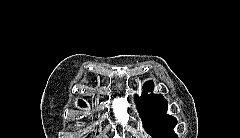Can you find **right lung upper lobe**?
<instances>
[{"label":"right lung upper lobe","instance_id":"cb5924a9","mask_svg":"<svg viewBox=\"0 0 240 138\" xmlns=\"http://www.w3.org/2000/svg\"><path fill=\"white\" fill-rule=\"evenodd\" d=\"M78 102H79V105H80V106H86V104H85V102H84V101H82V100H79Z\"/></svg>","mask_w":240,"mask_h":138}]
</instances>
